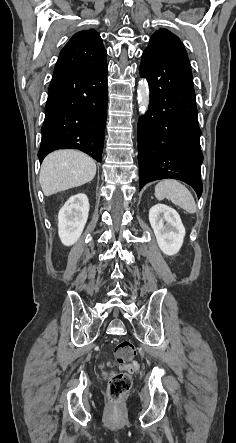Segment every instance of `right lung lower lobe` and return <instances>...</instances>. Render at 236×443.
Listing matches in <instances>:
<instances>
[{
    "instance_id": "98d812e1",
    "label": "right lung lower lobe",
    "mask_w": 236,
    "mask_h": 443,
    "mask_svg": "<svg viewBox=\"0 0 236 443\" xmlns=\"http://www.w3.org/2000/svg\"><path fill=\"white\" fill-rule=\"evenodd\" d=\"M107 64L55 68L45 106L40 162L58 149H78L101 162L107 111Z\"/></svg>"
}]
</instances>
